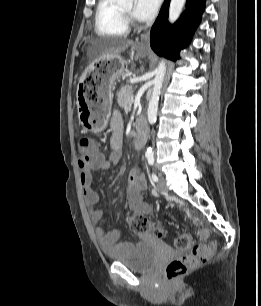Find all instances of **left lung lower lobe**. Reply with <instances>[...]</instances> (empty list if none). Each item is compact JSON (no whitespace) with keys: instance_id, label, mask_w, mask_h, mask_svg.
Masks as SVG:
<instances>
[{"instance_id":"1","label":"left lung lower lobe","mask_w":261,"mask_h":306,"mask_svg":"<svg viewBox=\"0 0 261 306\" xmlns=\"http://www.w3.org/2000/svg\"><path fill=\"white\" fill-rule=\"evenodd\" d=\"M206 0H187V10L173 25L168 23L170 0H165L150 34L151 48L160 56L176 60L179 52L190 41L191 35L200 23Z\"/></svg>"}]
</instances>
